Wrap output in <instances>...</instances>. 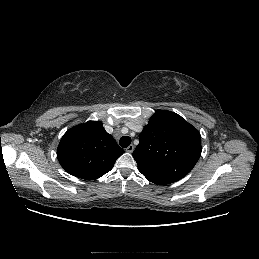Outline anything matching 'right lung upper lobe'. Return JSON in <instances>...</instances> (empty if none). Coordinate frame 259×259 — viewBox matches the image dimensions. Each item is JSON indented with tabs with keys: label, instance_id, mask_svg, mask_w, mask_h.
Returning a JSON list of instances; mask_svg holds the SVG:
<instances>
[{
	"label": "right lung upper lobe",
	"instance_id": "obj_1",
	"mask_svg": "<svg viewBox=\"0 0 259 259\" xmlns=\"http://www.w3.org/2000/svg\"><path fill=\"white\" fill-rule=\"evenodd\" d=\"M123 152L100 121H88L63 135L57 158L69 174L94 180L109 172Z\"/></svg>",
	"mask_w": 259,
	"mask_h": 259
}]
</instances>
